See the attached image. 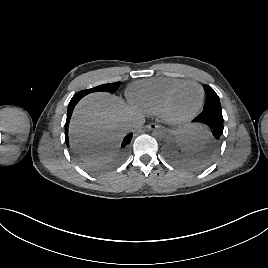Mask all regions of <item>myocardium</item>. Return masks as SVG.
<instances>
[{"mask_svg": "<svg viewBox=\"0 0 268 268\" xmlns=\"http://www.w3.org/2000/svg\"><path fill=\"white\" fill-rule=\"evenodd\" d=\"M187 86H196L199 91H200V99H199V103L196 106V108L183 116H175L170 112V105L172 103L173 98L175 97V95L183 88L187 87ZM204 102V89L202 88V86L196 82H192V81H186L182 84L177 85L176 87H174L172 90H170V92L166 95L162 106H161V110H160V116L162 117V119L164 121H166L169 124H173V125H180L183 124L185 122L190 121L191 119H193L197 113L200 111V109L202 108Z\"/></svg>", "mask_w": 268, "mask_h": 268, "instance_id": "f54148a6", "label": "myocardium"}]
</instances>
